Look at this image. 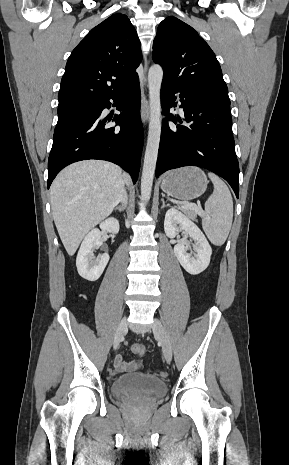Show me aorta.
Listing matches in <instances>:
<instances>
[{"label": "aorta", "instance_id": "1", "mask_svg": "<svg viewBox=\"0 0 289 465\" xmlns=\"http://www.w3.org/2000/svg\"><path fill=\"white\" fill-rule=\"evenodd\" d=\"M163 79V70L160 65L154 64L148 72L150 118L148 139L144 157L141 177V198L148 201L151 196L153 177L158 157V149L161 137V103L160 89Z\"/></svg>", "mask_w": 289, "mask_h": 465}]
</instances>
